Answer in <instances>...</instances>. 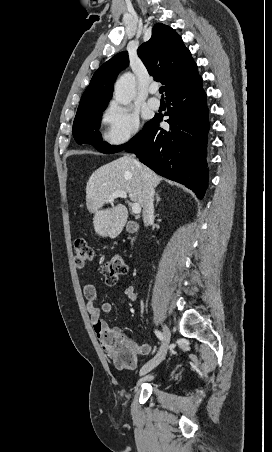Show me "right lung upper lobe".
Masks as SVG:
<instances>
[{"mask_svg": "<svg viewBox=\"0 0 272 452\" xmlns=\"http://www.w3.org/2000/svg\"><path fill=\"white\" fill-rule=\"evenodd\" d=\"M138 56L150 75L165 85L168 96L199 76L197 65L181 37L169 26L157 23L149 41L138 48ZM129 64L123 51L101 65L82 95L77 113L94 107H106L119 72Z\"/></svg>", "mask_w": 272, "mask_h": 452, "instance_id": "cb5924a9", "label": "right lung upper lobe"}]
</instances>
